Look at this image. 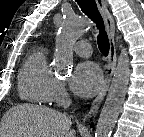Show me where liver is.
Masks as SVG:
<instances>
[{
	"label": "liver",
	"instance_id": "liver-1",
	"mask_svg": "<svg viewBox=\"0 0 144 137\" xmlns=\"http://www.w3.org/2000/svg\"><path fill=\"white\" fill-rule=\"evenodd\" d=\"M71 118L33 104L11 107L2 117L0 137H75Z\"/></svg>",
	"mask_w": 144,
	"mask_h": 137
}]
</instances>
